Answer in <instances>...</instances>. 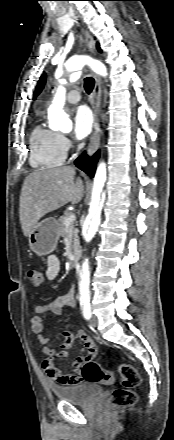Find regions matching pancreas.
<instances>
[{
    "label": "pancreas",
    "instance_id": "cf45deb5",
    "mask_svg": "<svg viewBox=\"0 0 174 440\" xmlns=\"http://www.w3.org/2000/svg\"><path fill=\"white\" fill-rule=\"evenodd\" d=\"M69 215H70V214L63 215V216H61V217L58 219V229H59V234H60V236L65 237L66 234H67V230H69V231L72 233L73 237H74V242L76 243V241H77V233H76V231H75V229H74V224H72V225H70V226H68V227H66V226L64 225V221H65V219H66Z\"/></svg>",
    "mask_w": 174,
    "mask_h": 440
}]
</instances>
